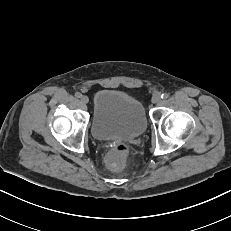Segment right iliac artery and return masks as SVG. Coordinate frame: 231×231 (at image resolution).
Masks as SVG:
<instances>
[{"label":"right iliac artery","mask_w":231,"mask_h":231,"mask_svg":"<svg viewBox=\"0 0 231 231\" xmlns=\"http://www.w3.org/2000/svg\"><path fill=\"white\" fill-rule=\"evenodd\" d=\"M75 96H76L77 98H81L82 95H81V93L76 92V93H75Z\"/></svg>","instance_id":"1"}]
</instances>
